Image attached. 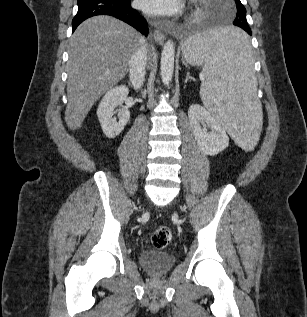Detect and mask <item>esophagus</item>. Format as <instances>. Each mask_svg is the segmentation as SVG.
<instances>
[{"mask_svg": "<svg viewBox=\"0 0 307 317\" xmlns=\"http://www.w3.org/2000/svg\"><path fill=\"white\" fill-rule=\"evenodd\" d=\"M153 37L155 42L158 43L159 45H162L166 40L165 34L158 29H154Z\"/></svg>", "mask_w": 307, "mask_h": 317, "instance_id": "34e87169", "label": "esophagus"}]
</instances>
